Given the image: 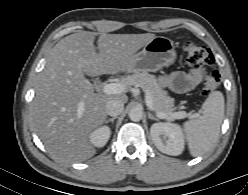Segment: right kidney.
<instances>
[{
    "mask_svg": "<svg viewBox=\"0 0 248 195\" xmlns=\"http://www.w3.org/2000/svg\"><path fill=\"white\" fill-rule=\"evenodd\" d=\"M111 130L107 126H101L94 130L89 138L90 142L96 147H103L109 140Z\"/></svg>",
    "mask_w": 248,
    "mask_h": 195,
    "instance_id": "1",
    "label": "right kidney"
}]
</instances>
